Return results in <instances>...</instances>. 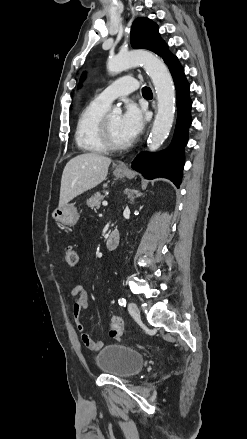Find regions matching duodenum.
Segmentation results:
<instances>
[{"mask_svg":"<svg viewBox=\"0 0 247 439\" xmlns=\"http://www.w3.org/2000/svg\"><path fill=\"white\" fill-rule=\"evenodd\" d=\"M120 244V233L118 230H112L106 238V248L115 250Z\"/></svg>","mask_w":247,"mask_h":439,"instance_id":"410a0bca","label":"duodenum"}]
</instances>
